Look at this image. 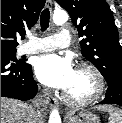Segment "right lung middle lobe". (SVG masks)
I'll return each mask as SVG.
<instances>
[{"label":"right lung middle lobe","instance_id":"1","mask_svg":"<svg viewBox=\"0 0 122 123\" xmlns=\"http://www.w3.org/2000/svg\"><path fill=\"white\" fill-rule=\"evenodd\" d=\"M1 54H4L5 56L9 57L10 59L17 61L16 49H1Z\"/></svg>","mask_w":122,"mask_h":123}]
</instances>
